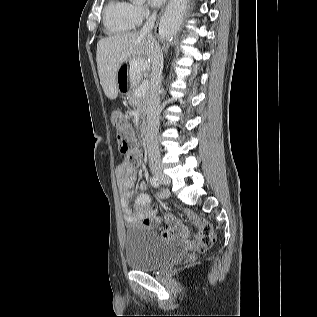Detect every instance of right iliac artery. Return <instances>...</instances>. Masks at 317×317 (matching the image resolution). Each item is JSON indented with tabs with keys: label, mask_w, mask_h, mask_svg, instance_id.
Returning <instances> with one entry per match:
<instances>
[{
	"label": "right iliac artery",
	"mask_w": 317,
	"mask_h": 317,
	"mask_svg": "<svg viewBox=\"0 0 317 317\" xmlns=\"http://www.w3.org/2000/svg\"><path fill=\"white\" fill-rule=\"evenodd\" d=\"M150 183H151V185H152L153 187H156V188H158L159 185H160V182H159L158 178L155 177V176H153V177L150 178Z\"/></svg>",
	"instance_id": "1"
}]
</instances>
